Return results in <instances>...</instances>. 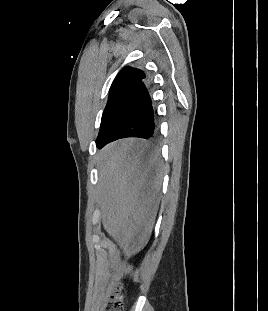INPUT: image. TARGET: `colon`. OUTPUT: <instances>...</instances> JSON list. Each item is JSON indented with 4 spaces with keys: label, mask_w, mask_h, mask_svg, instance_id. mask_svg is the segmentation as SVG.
<instances>
[{
    "label": "colon",
    "mask_w": 268,
    "mask_h": 311,
    "mask_svg": "<svg viewBox=\"0 0 268 311\" xmlns=\"http://www.w3.org/2000/svg\"><path fill=\"white\" fill-rule=\"evenodd\" d=\"M124 305V298L120 288L116 287L110 292L104 311H124Z\"/></svg>",
    "instance_id": "1"
}]
</instances>
